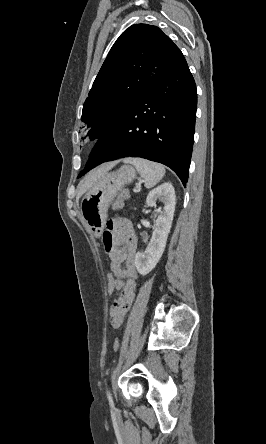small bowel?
I'll return each mask as SVG.
<instances>
[{
    "mask_svg": "<svg viewBox=\"0 0 266 444\" xmlns=\"http://www.w3.org/2000/svg\"><path fill=\"white\" fill-rule=\"evenodd\" d=\"M102 241L110 270L117 277V290H120L110 307L109 321L113 328H119L135 298L137 239L131 223L125 218H116L107 223Z\"/></svg>",
    "mask_w": 266,
    "mask_h": 444,
    "instance_id": "small-bowel-1",
    "label": "small bowel"
}]
</instances>
